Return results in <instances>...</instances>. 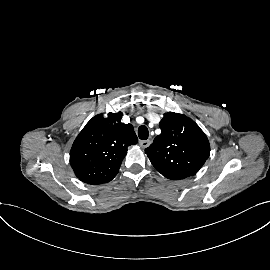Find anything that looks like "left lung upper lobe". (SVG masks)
<instances>
[{"label": "left lung upper lobe", "mask_w": 270, "mask_h": 270, "mask_svg": "<svg viewBox=\"0 0 270 270\" xmlns=\"http://www.w3.org/2000/svg\"><path fill=\"white\" fill-rule=\"evenodd\" d=\"M161 134L145 149L163 176L180 180L195 175L210 154V144L200 127L183 114L168 112L160 121Z\"/></svg>", "instance_id": "obj_1"}]
</instances>
